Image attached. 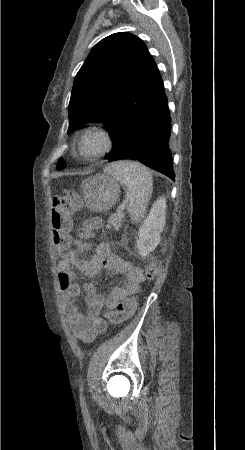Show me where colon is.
I'll return each instance as SVG.
<instances>
[{
  "label": "colon",
  "instance_id": "obj_1",
  "mask_svg": "<svg viewBox=\"0 0 245 450\" xmlns=\"http://www.w3.org/2000/svg\"><path fill=\"white\" fill-rule=\"evenodd\" d=\"M85 206L83 196L73 189L63 191L60 196L52 199V213L50 216V233L56 254V258L65 255L72 244H79L84 241L92 240L96 230L100 227V221L97 217L87 218L75 235L72 234V215L81 211ZM158 274V264L156 262L148 263L143 275L146 279H154ZM138 305V298L133 295L120 301L116 309L107 310L105 319L112 324H118L131 317Z\"/></svg>",
  "mask_w": 245,
  "mask_h": 450
}]
</instances>
